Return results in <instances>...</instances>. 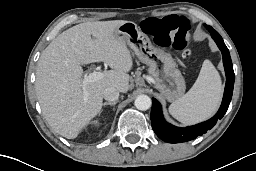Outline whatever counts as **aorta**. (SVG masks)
<instances>
[{
	"instance_id": "aorta-1",
	"label": "aorta",
	"mask_w": 256,
	"mask_h": 171,
	"mask_svg": "<svg viewBox=\"0 0 256 171\" xmlns=\"http://www.w3.org/2000/svg\"><path fill=\"white\" fill-rule=\"evenodd\" d=\"M134 103L135 107L141 111L148 110L152 104L150 97L144 94L137 96Z\"/></svg>"
}]
</instances>
